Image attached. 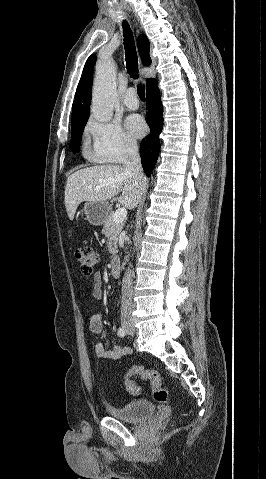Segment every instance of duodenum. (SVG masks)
<instances>
[{
  "label": "duodenum",
  "instance_id": "410a0bca",
  "mask_svg": "<svg viewBox=\"0 0 266 479\" xmlns=\"http://www.w3.org/2000/svg\"><path fill=\"white\" fill-rule=\"evenodd\" d=\"M110 271L113 277H118L120 274V259L118 257H114L110 263Z\"/></svg>",
  "mask_w": 266,
  "mask_h": 479
}]
</instances>
